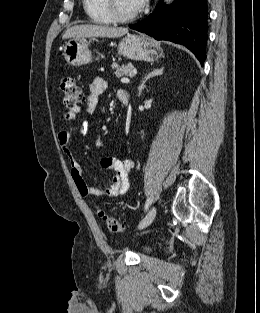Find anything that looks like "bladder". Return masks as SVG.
Segmentation results:
<instances>
[{
    "label": "bladder",
    "instance_id": "bladder-1",
    "mask_svg": "<svg viewBox=\"0 0 260 313\" xmlns=\"http://www.w3.org/2000/svg\"><path fill=\"white\" fill-rule=\"evenodd\" d=\"M153 251L152 247L151 246H143V248L140 250V253L141 254H150L151 252Z\"/></svg>",
    "mask_w": 260,
    "mask_h": 313
}]
</instances>
